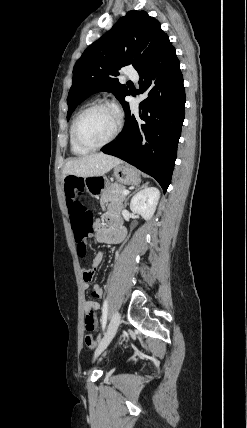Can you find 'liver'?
Masks as SVG:
<instances>
[{
    "label": "liver",
    "instance_id": "obj_1",
    "mask_svg": "<svg viewBox=\"0 0 247 428\" xmlns=\"http://www.w3.org/2000/svg\"><path fill=\"white\" fill-rule=\"evenodd\" d=\"M122 160L103 153H95L81 158L71 159L63 168V177L74 175L77 177L103 176Z\"/></svg>",
    "mask_w": 247,
    "mask_h": 428
}]
</instances>
